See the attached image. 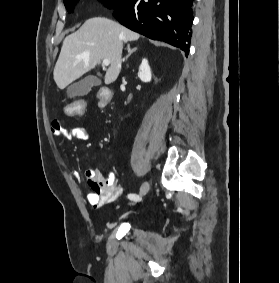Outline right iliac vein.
<instances>
[{
	"label": "right iliac vein",
	"mask_w": 280,
	"mask_h": 283,
	"mask_svg": "<svg viewBox=\"0 0 280 283\" xmlns=\"http://www.w3.org/2000/svg\"><path fill=\"white\" fill-rule=\"evenodd\" d=\"M150 185L148 182H145L142 184L141 188H140V192L139 195L142 197L144 195L147 194V192L149 191Z\"/></svg>",
	"instance_id": "obj_1"
}]
</instances>
